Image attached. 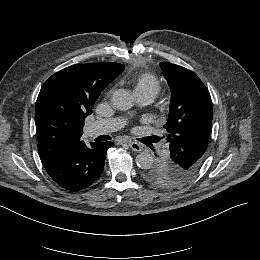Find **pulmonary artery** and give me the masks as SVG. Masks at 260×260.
<instances>
[{
  "instance_id": "obj_1",
  "label": "pulmonary artery",
  "mask_w": 260,
  "mask_h": 260,
  "mask_svg": "<svg viewBox=\"0 0 260 260\" xmlns=\"http://www.w3.org/2000/svg\"><path fill=\"white\" fill-rule=\"evenodd\" d=\"M136 100L141 105H148L153 101V97L140 95L136 96ZM123 123V120L120 118L97 120L87 125L86 133L90 137L112 133L121 128Z\"/></svg>"
}]
</instances>
